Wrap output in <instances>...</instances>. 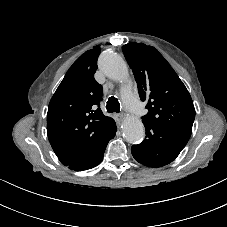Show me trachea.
Returning a JSON list of instances; mask_svg holds the SVG:
<instances>
[{"instance_id": "1", "label": "trachea", "mask_w": 227, "mask_h": 227, "mask_svg": "<svg viewBox=\"0 0 227 227\" xmlns=\"http://www.w3.org/2000/svg\"><path fill=\"white\" fill-rule=\"evenodd\" d=\"M106 109H107V112H109V113H113V112L119 113L120 112V104L114 96H111L108 99L107 104H106Z\"/></svg>"}]
</instances>
